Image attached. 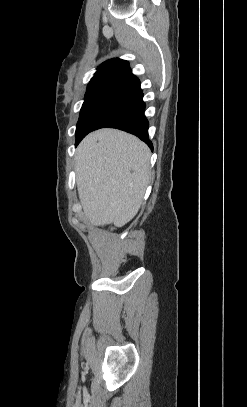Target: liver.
I'll return each instance as SVG.
<instances>
[{"instance_id":"liver-1","label":"liver","mask_w":247,"mask_h":407,"mask_svg":"<svg viewBox=\"0 0 247 407\" xmlns=\"http://www.w3.org/2000/svg\"><path fill=\"white\" fill-rule=\"evenodd\" d=\"M150 150L115 129L88 134L75 154L84 217L96 225L124 226L137 214L150 179Z\"/></svg>"}]
</instances>
